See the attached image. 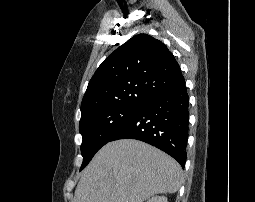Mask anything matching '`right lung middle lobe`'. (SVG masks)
<instances>
[{
  "label": "right lung middle lobe",
  "mask_w": 255,
  "mask_h": 202,
  "mask_svg": "<svg viewBox=\"0 0 255 202\" xmlns=\"http://www.w3.org/2000/svg\"><path fill=\"white\" fill-rule=\"evenodd\" d=\"M139 108L138 105L114 106L81 117L79 131L83 137L81 144L83 163L80 171Z\"/></svg>",
  "instance_id": "obj_1"
}]
</instances>
